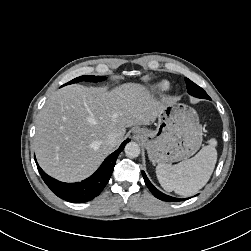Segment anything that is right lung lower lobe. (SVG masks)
<instances>
[{
	"instance_id": "right-lung-lower-lobe-1",
	"label": "right lung lower lobe",
	"mask_w": 251,
	"mask_h": 251,
	"mask_svg": "<svg viewBox=\"0 0 251 251\" xmlns=\"http://www.w3.org/2000/svg\"><path fill=\"white\" fill-rule=\"evenodd\" d=\"M129 141L130 139H126L115 152L104 160L92 176L81 182L63 183L47 175L36 162L37 168L46 185L58 197L73 203L87 202L98 196L104 189L111 177L119 153Z\"/></svg>"
}]
</instances>
